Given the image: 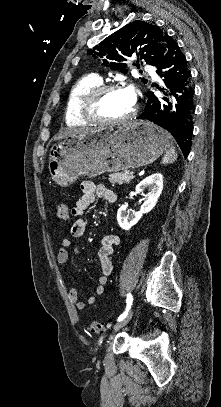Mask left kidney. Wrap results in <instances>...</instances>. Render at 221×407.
I'll return each instance as SVG.
<instances>
[{"mask_svg": "<svg viewBox=\"0 0 221 407\" xmlns=\"http://www.w3.org/2000/svg\"><path fill=\"white\" fill-rule=\"evenodd\" d=\"M148 188L149 194L144 198L139 212H130L127 205H121L117 211V221L124 230H129L136 225L143 214L150 212L156 205L157 200L163 190V176L160 173H154L136 186V193L143 194L144 189Z\"/></svg>", "mask_w": 221, "mask_h": 407, "instance_id": "5707ae66", "label": "left kidney"}]
</instances>
